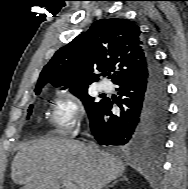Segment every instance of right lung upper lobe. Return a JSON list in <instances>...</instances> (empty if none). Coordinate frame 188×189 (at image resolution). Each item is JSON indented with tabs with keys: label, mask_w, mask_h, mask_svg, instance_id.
<instances>
[{
	"label": "right lung upper lobe",
	"mask_w": 188,
	"mask_h": 189,
	"mask_svg": "<svg viewBox=\"0 0 188 189\" xmlns=\"http://www.w3.org/2000/svg\"><path fill=\"white\" fill-rule=\"evenodd\" d=\"M149 53L137 25L125 19H100L54 54L43 68L35 92L47 83L88 88L99 79L94 70L105 75L116 69L112 81L118 84L144 73Z\"/></svg>",
	"instance_id": "1"
}]
</instances>
